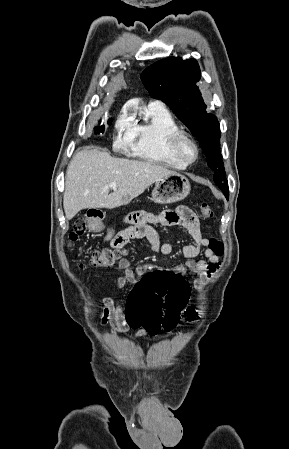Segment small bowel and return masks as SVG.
<instances>
[{"label":"small bowel","mask_w":289,"mask_h":449,"mask_svg":"<svg viewBox=\"0 0 289 449\" xmlns=\"http://www.w3.org/2000/svg\"><path fill=\"white\" fill-rule=\"evenodd\" d=\"M127 222L129 226L122 230H117L115 226H112L106 232L103 238L104 242L110 243L112 247L121 249L131 239L146 238L155 252L169 255L173 252V245L171 243H161L159 235L152 225L172 226L181 224L190 235L191 242L182 248L183 256L187 261L176 265L172 268V271H178L179 276L183 278L186 275L191 276L194 286L199 289L218 270L220 266L219 256L210 249L209 240L202 237L199 220L187 207L180 206L174 210H166L161 213L139 211L132 214L127 219ZM201 251L204 252L206 259H196ZM116 267L124 271V275L118 277L115 281L119 290H123L128 284L134 285L145 271L151 268L155 270L154 265L143 264L134 271L126 258L120 259ZM103 303L104 308L100 318L102 325L109 323L117 332H126L132 328L118 300L115 301L110 297H106ZM184 318L187 322L196 321L198 318L197 309L192 306L187 307L184 311ZM147 334L146 330L138 329L135 337H143Z\"/></svg>","instance_id":"obj_1"}]
</instances>
